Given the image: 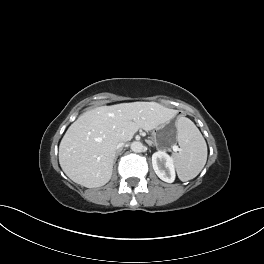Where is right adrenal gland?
I'll list each match as a JSON object with an SVG mask.
<instances>
[{
    "label": "right adrenal gland",
    "mask_w": 264,
    "mask_h": 264,
    "mask_svg": "<svg viewBox=\"0 0 264 264\" xmlns=\"http://www.w3.org/2000/svg\"><path fill=\"white\" fill-rule=\"evenodd\" d=\"M121 150H117L116 151V155H115V162H116V160H117V158H118V155H119V152H120Z\"/></svg>",
    "instance_id": "right-adrenal-gland-1"
}]
</instances>
